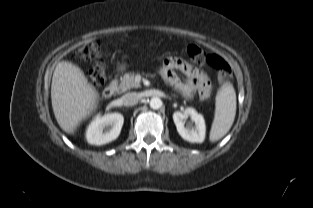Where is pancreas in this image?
Segmentation results:
<instances>
[{
  "label": "pancreas",
  "mask_w": 313,
  "mask_h": 208,
  "mask_svg": "<svg viewBox=\"0 0 313 208\" xmlns=\"http://www.w3.org/2000/svg\"><path fill=\"white\" fill-rule=\"evenodd\" d=\"M134 78V73H125L124 76L121 78V83L119 84L116 92L120 94L127 90H130L131 88H139L140 84L135 82Z\"/></svg>",
  "instance_id": "pancreas-1"
}]
</instances>
